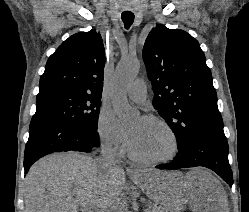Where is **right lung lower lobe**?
<instances>
[{"mask_svg": "<svg viewBox=\"0 0 249 212\" xmlns=\"http://www.w3.org/2000/svg\"><path fill=\"white\" fill-rule=\"evenodd\" d=\"M100 146L97 130H87L66 123H51L30 129L25 148V174L41 157L61 151L91 152Z\"/></svg>", "mask_w": 249, "mask_h": 212, "instance_id": "1", "label": "right lung lower lobe"}]
</instances>
